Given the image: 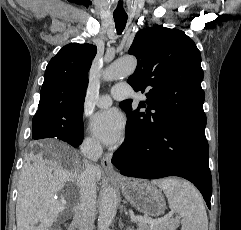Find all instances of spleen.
I'll use <instances>...</instances> for the list:
<instances>
[{
    "label": "spleen",
    "mask_w": 241,
    "mask_h": 230,
    "mask_svg": "<svg viewBox=\"0 0 241 230\" xmlns=\"http://www.w3.org/2000/svg\"><path fill=\"white\" fill-rule=\"evenodd\" d=\"M172 212L181 218L182 230H208L207 213L199 191L189 182L179 178L156 180Z\"/></svg>",
    "instance_id": "3e777b00"
}]
</instances>
